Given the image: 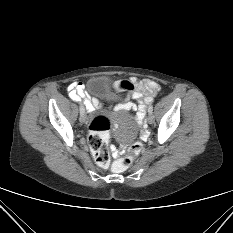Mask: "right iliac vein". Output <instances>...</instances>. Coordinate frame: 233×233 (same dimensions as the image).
<instances>
[{
  "label": "right iliac vein",
  "instance_id": "63e3f726",
  "mask_svg": "<svg viewBox=\"0 0 233 233\" xmlns=\"http://www.w3.org/2000/svg\"><path fill=\"white\" fill-rule=\"evenodd\" d=\"M80 107L84 108V106L82 104H80ZM79 119L83 123L86 121V113H85V111L83 113H80V118Z\"/></svg>",
  "mask_w": 233,
  "mask_h": 233
}]
</instances>
